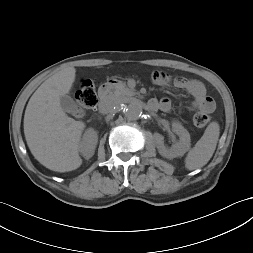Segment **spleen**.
Listing matches in <instances>:
<instances>
[{"label":"spleen","instance_id":"3e777b00","mask_svg":"<svg viewBox=\"0 0 253 253\" xmlns=\"http://www.w3.org/2000/svg\"><path fill=\"white\" fill-rule=\"evenodd\" d=\"M219 134V124L217 122H211L207 126L203 136L189 151L185 159V166L188 170L201 168L208 163L216 149Z\"/></svg>","mask_w":253,"mask_h":253}]
</instances>
